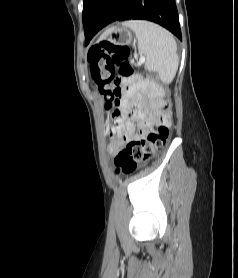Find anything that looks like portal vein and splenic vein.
<instances>
[{"label":"portal vein and splenic vein","instance_id":"portal-vein-and-splenic-vein-1","mask_svg":"<svg viewBox=\"0 0 238 278\" xmlns=\"http://www.w3.org/2000/svg\"><path fill=\"white\" fill-rule=\"evenodd\" d=\"M145 61V57H140L139 62L143 63Z\"/></svg>","mask_w":238,"mask_h":278}]
</instances>
